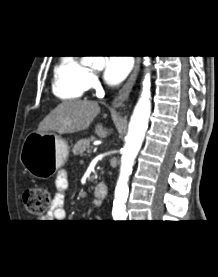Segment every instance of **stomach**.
<instances>
[{"label":"stomach","instance_id":"stomach-1","mask_svg":"<svg viewBox=\"0 0 218 277\" xmlns=\"http://www.w3.org/2000/svg\"><path fill=\"white\" fill-rule=\"evenodd\" d=\"M68 154V144L60 136L33 132L22 144L20 162L33 177L46 179L65 164Z\"/></svg>","mask_w":218,"mask_h":277}]
</instances>
